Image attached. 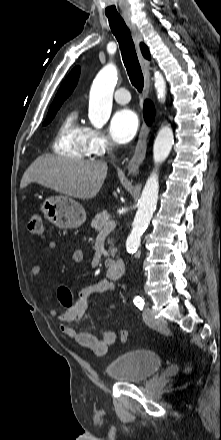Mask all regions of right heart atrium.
Masks as SVG:
<instances>
[{
	"mask_svg": "<svg viewBox=\"0 0 221 440\" xmlns=\"http://www.w3.org/2000/svg\"><path fill=\"white\" fill-rule=\"evenodd\" d=\"M87 142L91 154L96 156H102L114 147L109 135L94 128H88Z\"/></svg>",
	"mask_w": 221,
	"mask_h": 440,
	"instance_id": "1",
	"label": "right heart atrium"
}]
</instances>
